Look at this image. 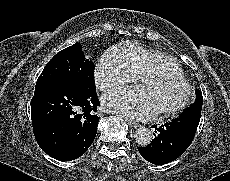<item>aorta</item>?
Returning a JSON list of instances; mask_svg holds the SVG:
<instances>
[{"label": "aorta", "mask_w": 230, "mask_h": 181, "mask_svg": "<svg viewBox=\"0 0 230 181\" xmlns=\"http://www.w3.org/2000/svg\"><path fill=\"white\" fill-rule=\"evenodd\" d=\"M134 138L138 145L146 147L152 142L154 136H153L152 131L149 128L140 126L136 130Z\"/></svg>", "instance_id": "762f6f07"}]
</instances>
